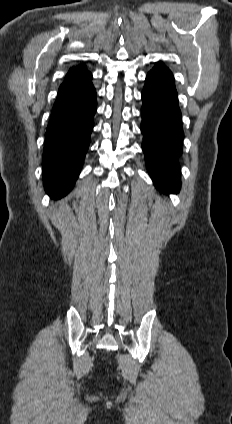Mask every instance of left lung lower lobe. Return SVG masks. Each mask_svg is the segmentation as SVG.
Wrapping results in <instances>:
<instances>
[{
  "label": "left lung lower lobe",
  "instance_id": "obj_1",
  "mask_svg": "<svg viewBox=\"0 0 232 424\" xmlns=\"http://www.w3.org/2000/svg\"><path fill=\"white\" fill-rule=\"evenodd\" d=\"M142 149L148 172L157 189L177 193L180 189L182 120L171 71L162 62L147 74L142 91Z\"/></svg>",
  "mask_w": 232,
  "mask_h": 424
}]
</instances>
